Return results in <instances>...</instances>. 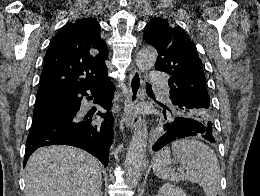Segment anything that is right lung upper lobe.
<instances>
[{
    "instance_id": "1",
    "label": "right lung upper lobe",
    "mask_w": 260,
    "mask_h": 196,
    "mask_svg": "<svg viewBox=\"0 0 260 196\" xmlns=\"http://www.w3.org/2000/svg\"><path fill=\"white\" fill-rule=\"evenodd\" d=\"M107 58L108 48L94 18L66 24L46 52L35 108L106 81Z\"/></svg>"
}]
</instances>
